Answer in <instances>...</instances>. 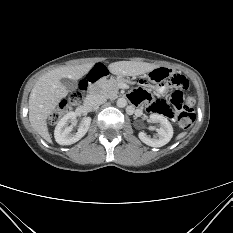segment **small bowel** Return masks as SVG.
<instances>
[{"label":"small bowel","mask_w":233,"mask_h":233,"mask_svg":"<svg viewBox=\"0 0 233 233\" xmlns=\"http://www.w3.org/2000/svg\"><path fill=\"white\" fill-rule=\"evenodd\" d=\"M165 87H163V86H160V87H157L156 88V92L158 93V94H163L164 92H165ZM148 96H149V92L147 91V90H145V89H140V90H137V91H135L134 93H132V95H131V99H132V101L134 102V103H139V102H141V101H143V100H146L147 98H148ZM148 110L149 111H152L151 110V107H150V105L148 106ZM140 110L139 109H136L135 110V113L136 114H140ZM153 112V111H152Z\"/></svg>","instance_id":"obj_1"}]
</instances>
